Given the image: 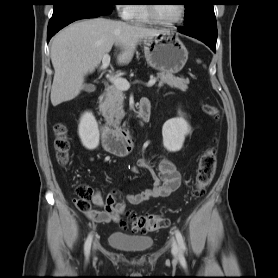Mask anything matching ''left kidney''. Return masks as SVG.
<instances>
[{
    "mask_svg": "<svg viewBox=\"0 0 278 278\" xmlns=\"http://www.w3.org/2000/svg\"><path fill=\"white\" fill-rule=\"evenodd\" d=\"M190 132V125L181 115L166 121L162 127L164 147L170 152L181 150L185 137Z\"/></svg>",
    "mask_w": 278,
    "mask_h": 278,
    "instance_id": "5707ae66",
    "label": "left kidney"
}]
</instances>
